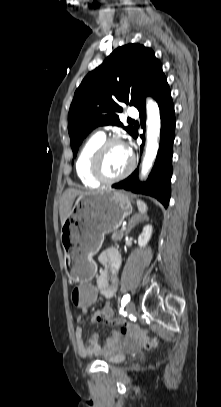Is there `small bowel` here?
Returning <instances> with one entry per match:
<instances>
[{
  "mask_svg": "<svg viewBox=\"0 0 221 407\" xmlns=\"http://www.w3.org/2000/svg\"><path fill=\"white\" fill-rule=\"evenodd\" d=\"M99 263L103 267L97 274L95 280V291H97L98 295H102L107 299H112L118 290V271L121 264V257L118 250L114 247H110L105 249L99 255ZM82 283H89V282H82ZM96 301V300H95ZM105 305H110L106 303ZM87 311H82V313H86ZM92 312L95 313L92 317V324L93 325H100L101 324V317L96 315L102 314V308L100 309L99 306H93ZM77 321H81V317L77 318ZM111 323V322H109ZM76 346L79 354L81 356H92L97 355L104 351L105 353H109L115 349L116 347V340H117V333H114L113 336L107 340L104 349L100 347L98 344V335L93 334L88 342H86L83 338V329L81 326H77L74 331Z\"/></svg>",
  "mask_w": 221,
  "mask_h": 407,
  "instance_id": "obj_1",
  "label": "small bowel"
}]
</instances>
